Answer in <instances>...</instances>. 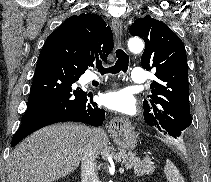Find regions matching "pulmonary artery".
Segmentation results:
<instances>
[{
  "mask_svg": "<svg viewBox=\"0 0 211 182\" xmlns=\"http://www.w3.org/2000/svg\"><path fill=\"white\" fill-rule=\"evenodd\" d=\"M132 80L136 83H144L146 81V73L144 71V69L140 68V67H135L132 70V74H131ZM97 78L96 76H92V79Z\"/></svg>",
  "mask_w": 211,
  "mask_h": 182,
  "instance_id": "obj_1",
  "label": "pulmonary artery"
}]
</instances>
